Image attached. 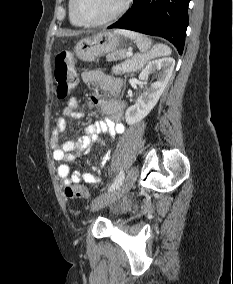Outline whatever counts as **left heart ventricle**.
I'll return each mask as SVG.
<instances>
[{
  "label": "left heart ventricle",
  "instance_id": "obj_1",
  "mask_svg": "<svg viewBox=\"0 0 233 284\" xmlns=\"http://www.w3.org/2000/svg\"><path fill=\"white\" fill-rule=\"evenodd\" d=\"M122 0H81L80 10L89 20H102L118 10Z\"/></svg>",
  "mask_w": 233,
  "mask_h": 284
}]
</instances>
